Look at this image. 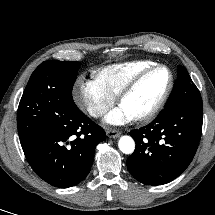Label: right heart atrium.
<instances>
[{"mask_svg":"<svg viewBox=\"0 0 215 215\" xmlns=\"http://www.w3.org/2000/svg\"><path fill=\"white\" fill-rule=\"evenodd\" d=\"M77 107L93 118H100L112 107L115 96L104 90L95 80L78 78L72 90Z\"/></svg>","mask_w":215,"mask_h":215,"instance_id":"obj_1","label":"right heart atrium"}]
</instances>
